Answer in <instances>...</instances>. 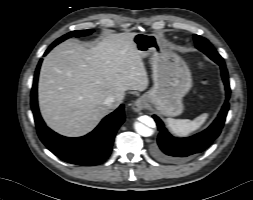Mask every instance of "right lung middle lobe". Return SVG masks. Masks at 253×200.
<instances>
[{
	"mask_svg": "<svg viewBox=\"0 0 253 200\" xmlns=\"http://www.w3.org/2000/svg\"><path fill=\"white\" fill-rule=\"evenodd\" d=\"M93 32V30H83V31H72L60 38H58L53 44L57 45L59 44L60 42L70 38V37H79V36H86V35H89Z\"/></svg>",
	"mask_w": 253,
	"mask_h": 200,
	"instance_id": "dd1d6c3e",
	"label": "right lung middle lobe"
}]
</instances>
